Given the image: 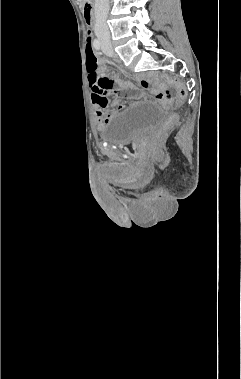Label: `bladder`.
Wrapping results in <instances>:
<instances>
[{
    "instance_id": "bladder-1",
    "label": "bladder",
    "mask_w": 241,
    "mask_h": 379,
    "mask_svg": "<svg viewBox=\"0 0 241 379\" xmlns=\"http://www.w3.org/2000/svg\"><path fill=\"white\" fill-rule=\"evenodd\" d=\"M163 119V112L154 104L136 103L127 109L114 113L101 126L100 137L119 145L129 144Z\"/></svg>"
}]
</instances>
